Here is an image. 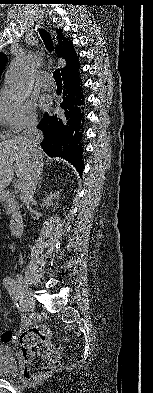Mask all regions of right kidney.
<instances>
[{
  "label": "right kidney",
  "mask_w": 153,
  "mask_h": 393,
  "mask_svg": "<svg viewBox=\"0 0 153 393\" xmlns=\"http://www.w3.org/2000/svg\"><path fill=\"white\" fill-rule=\"evenodd\" d=\"M51 199H52V197L47 198V200L44 202L45 205L50 206L51 205Z\"/></svg>",
  "instance_id": "right-kidney-1"
}]
</instances>
